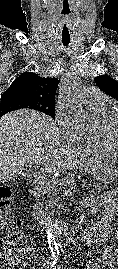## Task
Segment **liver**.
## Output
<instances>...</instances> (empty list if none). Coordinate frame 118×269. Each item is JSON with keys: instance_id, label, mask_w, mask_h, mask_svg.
<instances>
[{"instance_id": "liver-1", "label": "liver", "mask_w": 118, "mask_h": 269, "mask_svg": "<svg viewBox=\"0 0 118 269\" xmlns=\"http://www.w3.org/2000/svg\"><path fill=\"white\" fill-rule=\"evenodd\" d=\"M58 146L59 129L48 115L29 109L4 115L0 118V183L17 178L25 164L44 165L45 174L88 170L99 164Z\"/></svg>"}]
</instances>
